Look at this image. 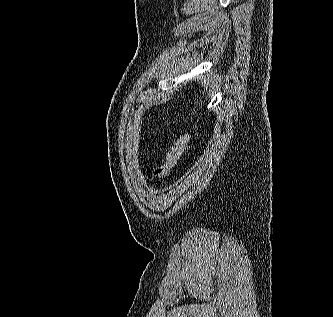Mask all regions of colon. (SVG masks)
<instances>
[{"label": "colon", "mask_w": 333, "mask_h": 317, "mask_svg": "<svg viewBox=\"0 0 333 317\" xmlns=\"http://www.w3.org/2000/svg\"><path fill=\"white\" fill-rule=\"evenodd\" d=\"M189 143V135L182 134L177 138L174 145L168 152L165 161L154 168L153 175L156 179L166 178L175 167L178 159L182 156Z\"/></svg>", "instance_id": "colon-1"}]
</instances>
